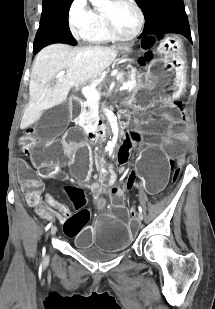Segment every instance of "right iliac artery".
<instances>
[{
  "label": "right iliac artery",
  "mask_w": 215,
  "mask_h": 309,
  "mask_svg": "<svg viewBox=\"0 0 215 309\" xmlns=\"http://www.w3.org/2000/svg\"><path fill=\"white\" fill-rule=\"evenodd\" d=\"M51 225H52V223H49V224L46 226L45 230H48V229L51 227Z\"/></svg>",
  "instance_id": "right-iliac-artery-1"
}]
</instances>
